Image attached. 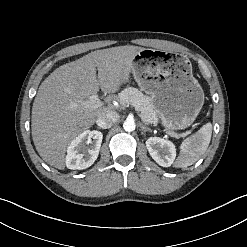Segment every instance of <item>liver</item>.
<instances>
[{
  "mask_svg": "<svg viewBox=\"0 0 247 247\" xmlns=\"http://www.w3.org/2000/svg\"><path fill=\"white\" fill-rule=\"evenodd\" d=\"M144 49L126 45L96 50L60 66L41 83L32 107L31 129L36 150L47 164L65 168L69 144L110 110L126 68ZM99 89L110 94L103 105L86 107L84 103Z\"/></svg>",
  "mask_w": 247,
  "mask_h": 247,
  "instance_id": "1",
  "label": "liver"
}]
</instances>
